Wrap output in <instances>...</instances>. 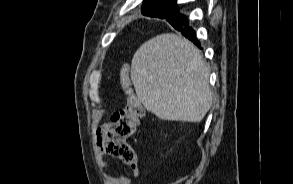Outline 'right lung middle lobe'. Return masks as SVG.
Returning <instances> with one entry per match:
<instances>
[{"instance_id": "dd1d6c3e", "label": "right lung middle lobe", "mask_w": 293, "mask_h": 184, "mask_svg": "<svg viewBox=\"0 0 293 184\" xmlns=\"http://www.w3.org/2000/svg\"><path fill=\"white\" fill-rule=\"evenodd\" d=\"M149 4H154V2H150Z\"/></svg>"}]
</instances>
